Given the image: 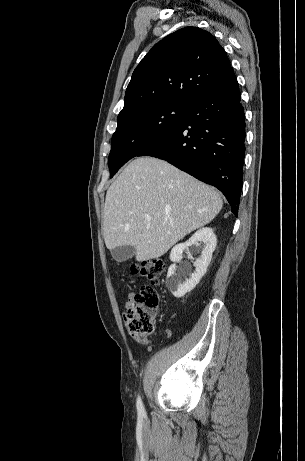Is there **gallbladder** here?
I'll return each instance as SVG.
<instances>
[{
    "label": "gallbladder",
    "instance_id": "gallbladder-1",
    "mask_svg": "<svg viewBox=\"0 0 305 461\" xmlns=\"http://www.w3.org/2000/svg\"><path fill=\"white\" fill-rule=\"evenodd\" d=\"M135 247L133 246H119L111 250V255L117 262H124L132 258L135 254Z\"/></svg>",
    "mask_w": 305,
    "mask_h": 461
}]
</instances>
